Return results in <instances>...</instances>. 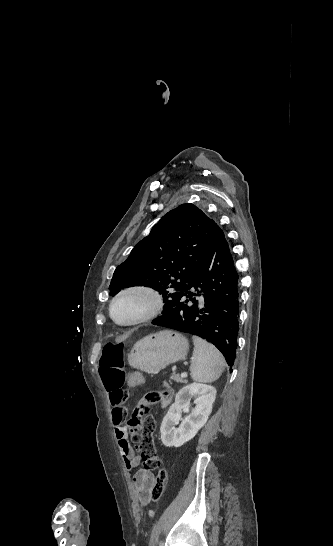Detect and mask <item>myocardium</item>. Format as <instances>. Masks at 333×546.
I'll return each mask as SVG.
<instances>
[{
	"mask_svg": "<svg viewBox=\"0 0 333 546\" xmlns=\"http://www.w3.org/2000/svg\"><path fill=\"white\" fill-rule=\"evenodd\" d=\"M131 295L142 296L145 307L134 317L126 321L118 320L114 315V307L123 298ZM164 308L163 295L154 287L145 284H133L121 289L110 301L109 316L120 327H132L146 323L158 316Z\"/></svg>",
	"mask_w": 333,
	"mask_h": 546,
	"instance_id": "1",
	"label": "myocardium"
}]
</instances>
